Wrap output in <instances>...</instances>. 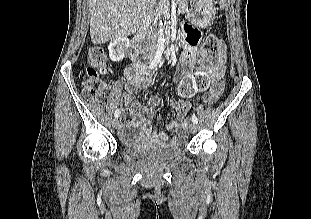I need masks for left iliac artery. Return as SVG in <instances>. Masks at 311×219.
I'll return each mask as SVG.
<instances>
[{
    "label": "left iliac artery",
    "mask_w": 311,
    "mask_h": 219,
    "mask_svg": "<svg viewBox=\"0 0 311 219\" xmlns=\"http://www.w3.org/2000/svg\"><path fill=\"white\" fill-rule=\"evenodd\" d=\"M191 120L193 123L198 124V118L195 115H192Z\"/></svg>",
    "instance_id": "left-iliac-artery-1"
}]
</instances>
